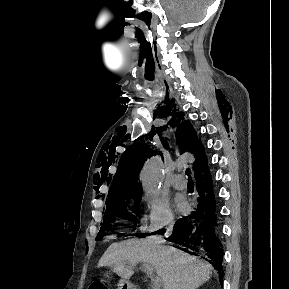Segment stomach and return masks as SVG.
Instances as JSON below:
<instances>
[{
	"instance_id": "0dacf381",
	"label": "stomach",
	"mask_w": 289,
	"mask_h": 289,
	"mask_svg": "<svg viewBox=\"0 0 289 289\" xmlns=\"http://www.w3.org/2000/svg\"><path fill=\"white\" fill-rule=\"evenodd\" d=\"M118 286V289H133L131 283L127 279H122Z\"/></svg>"
}]
</instances>
